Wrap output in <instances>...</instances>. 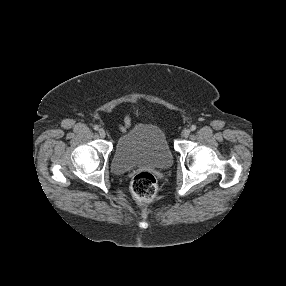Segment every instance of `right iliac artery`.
<instances>
[{
  "instance_id": "82829eb1",
  "label": "right iliac artery",
  "mask_w": 286,
  "mask_h": 286,
  "mask_svg": "<svg viewBox=\"0 0 286 286\" xmlns=\"http://www.w3.org/2000/svg\"><path fill=\"white\" fill-rule=\"evenodd\" d=\"M94 130H96V131L99 130V126H98V125H95V126H94Z\"/></svg>"
}]
</instances>
